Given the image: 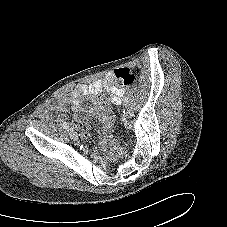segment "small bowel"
<instances>
[{"label": "small bowel", "instance_id": "1", "mask_svg": "<svg viewBox=\"0 0 227 227\" xmlns=\"http://www.w3.org/2000/svg\"><path fill=\"white\" fill-rule=\"evenodd\" d=\"M123 91L115 85V71L109 72L103 79L96 80L89 84L76 85L67 97H58L52 100L42 109V117L46 120H52L60 112H63L68 106L71 107L74 113L82 111L81 102L84 97H97L101 93H109L111 102L115 105L121 104ZM89 114L97 115L99 119L109 126L113 120L111 111L108 109L105 112L99 110L98 106L91 107L87 110ZM60 116V115H59ZM90 137V132L87 128L81 129V138L87 140Z\"/></svg>", "mask_w": 227, "mask_h": 227}]
</instances>
